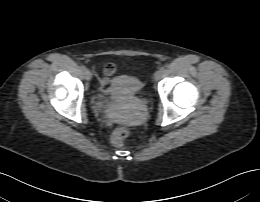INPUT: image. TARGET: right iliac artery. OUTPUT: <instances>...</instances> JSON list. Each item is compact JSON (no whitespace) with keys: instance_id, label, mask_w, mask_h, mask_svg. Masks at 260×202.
Listing matches in <instances>:
<instances>
[{"instance_id":"1","label":"right iliac artery","mask_w":260,"mask_h":202,"mask_svg":"<svg viewBox=\"0 0 260 202\" xmlns=\"http://www.w3.org/2000/svg\"><path fill=\"white\" fill-rule=\"evenodd\" d=\"M80 68H81L82 71L86 70V67L84 65H82Z\"/></svg>"}]
</instances>
